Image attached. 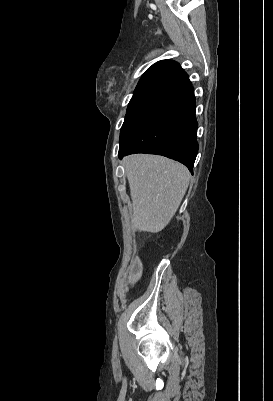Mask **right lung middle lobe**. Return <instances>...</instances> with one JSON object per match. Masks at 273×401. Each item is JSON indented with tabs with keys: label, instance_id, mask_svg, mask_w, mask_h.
Returning a JSON list of instances; mask_svg holds the SVG:
<instances>
[{
	"label": "right lung middle lobe",
	"instance_id": "obj_1",
	"mask_svg": "<svg viewBox=\"0 0 273 401\" xmlns=\"http://www.w3.org/2000/svg\"><path fill=\"white\" fill-rule=\"evenodd\" d=\"M170 97L161 95L133 96L129 102L125 121L120 132V147L130 138L134 131Z\"/></svg>",
	"mask_w": 273,
	"mask_h": 401
}]
</instances>
